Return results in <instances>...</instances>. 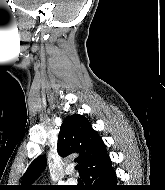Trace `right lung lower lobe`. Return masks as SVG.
Listing matches in <instances>:
<instances>
[{
  "mask_svg": "<svg viewBox=\"0 0 165 190\" xmlns=\"http://www.w3.org/2000/svg\"><path fill=\"white\" fill-rule=\"evenodd\" d=\"M85 182L84 190H121L116 185V173L111 167V160L106 155L93 168H89L81 174Z\"/></svg>",
  "mask_w": 165,
  "mask_h": 190,
  "instance_id": "98d812e1",
  "label": "right lung lower lobe"
}]
</instances>
